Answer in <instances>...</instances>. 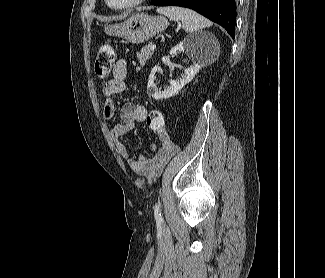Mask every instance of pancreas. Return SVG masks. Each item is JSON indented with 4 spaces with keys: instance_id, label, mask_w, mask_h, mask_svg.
<instances>
[{
    "instance_id": "1",
    "label": "pancreas",
    "mask_w": 325,
    "mask_h": 278,
    "mask_svg": "<svg viewBox=\"0 0 325 278\" xmlns=\"http://www.w3.org/2000/svg\"><path fill=\"white\" fill-rule=\"evenodd\" d=\"M154 50L149 48V45L143 47L139 52H137V57L140 61V65H145V63L147 62V60L149 58H151V56L153 55Z\"/></svg>"
}]
</instances>
